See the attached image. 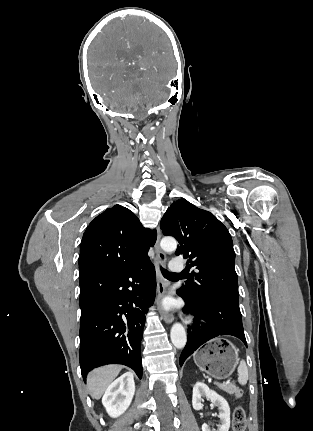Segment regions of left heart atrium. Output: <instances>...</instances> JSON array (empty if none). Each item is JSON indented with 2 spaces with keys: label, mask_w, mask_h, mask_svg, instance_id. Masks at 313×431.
Segmentation results:
<instances>
[{
  "label": "left heart atrium",
  "mask_w": 313,
  "mask_h": 431,
  "mask_svg": "<svg viewBox=\"0 0 313 431\" xmlns=\"http://www.w3.org/2000/svg\"><path fill=\"white\" fill-rule=\"evenodd\" d=\"M169 305H170V303L168 302V303H167V306H169Z\"/></svg>",
  "instance_id": "1"
}]
</instances>
